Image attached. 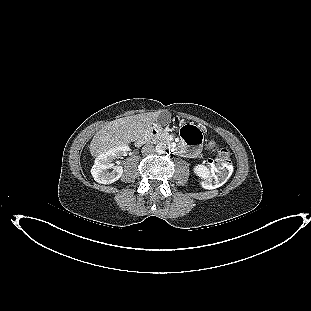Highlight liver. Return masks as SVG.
<instances>
[{"label": "liver", "instance_id": "1", "mask_svg": "<svg viewBox=\"0 0 311 311\" xmlns=\"http://www.w3.org/2000/svg\"><path fill=\"white\" fill-rule=\"evenodd\" d=\"M159 112H148L113 120L102 127L90 143V153L97 157L111 148L126 145L143 136L157 120Z\"/></svg>", "mask_w": 311, "mask_h": 311}]
</instances>
